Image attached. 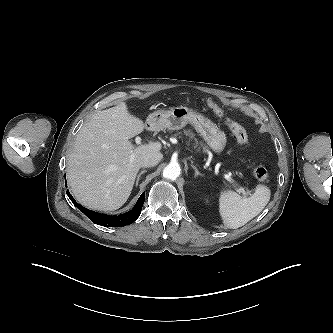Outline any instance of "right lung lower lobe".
Returning a JSON list of instances; mask_svg holds the SVG:
<instances>
[{
	"label": "right lung lower lobe",
	"mask_w": 333,
	"mask_h": 333,
	"mask_svg": "<svg viewBox=\"0 0 333 333\" xmlns=\"http://www.w3.org/2000/svg\"><path fill=\"white\" fill-rule=\"evenodd\" d=\"M67 195L69 196L72 203L81 212H83L93 223L101 225V226H108V227H120V226H125V225L133 223L139 217V215L141 213L142 206L144 203V198H145V193L143 192L132 210H130L129 212H126L124 214H121L119 216H110V215L101 214V213H97V212L88 210L87 208L78 204L75 201V199L70 195L69 191H67Z\"/></svg>",
	"instance_id": "98d812e1"
}]
</instances>
